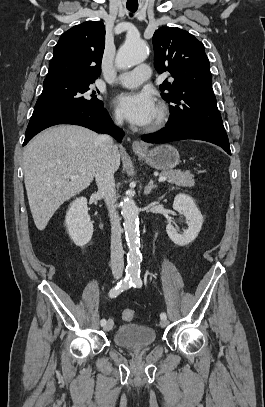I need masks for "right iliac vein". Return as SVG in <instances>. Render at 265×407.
Masks as SVG:
<instances>
[{
  "instance_id": "right-iliac-vein-1",
  "label": "right iliac vein",
  "mask_w": 265,
  "mask_h": 407,
  "mask_svg": "<svg viewBox=\"0 0 265 407\" xmlns=\"http://www.w3.org/2000/svg\"><path fill=\"white\" fill-rule=\"evenodd\" d=\"M112 327H113V321L111 320V319H109L108 321H107V323L104 325V330L105 331H109V330H111L112 329Z\"/></svg>"
}]
</instances>
